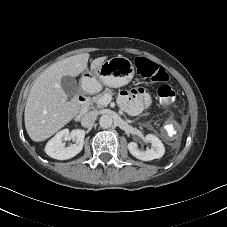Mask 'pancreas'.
Here are the masks:
<instances>
[{"label":"pancreas","mask_w":227,"mask_h":227,"mask_svg":"<svg viewBox=\"0 0 227 227\" xmlns=\"http://www.w3.org/2000/svg\"><path fill=\"white\" fill-rule=\"evenodd\" d=\"M106 94H109V95H112L113 94V91L109 88L105 89L102 93H99L97 95H95L93 98H92V103L95 104L96 108L97 109H101L103 107H105L106 105L104 103L101 102V99L104 97V95Z\"/></svg>","instance_id":"cf45deb5"}]
</instances>
